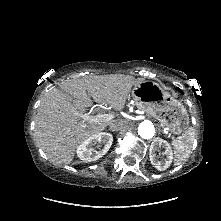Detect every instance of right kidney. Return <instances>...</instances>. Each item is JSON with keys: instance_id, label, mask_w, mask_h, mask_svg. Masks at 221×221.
Listing matches in <instances>:
<instances>
[{"instance_id": "1", "label": "right kidney", "mask_w": 221, "mask_h": 221, "mask_svg": "<svg viewBox=\"0 0 221 221\" xmlns=\"http://www.w3.org/2000/svg\"><path fill=\"white\" fill-rule=\"evenodd\" d=\"M113 136L110 133H99L89 137L77 147V156L84 162L98 160L110 149Z\"/></svg>"}]
</instances>
